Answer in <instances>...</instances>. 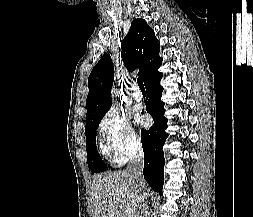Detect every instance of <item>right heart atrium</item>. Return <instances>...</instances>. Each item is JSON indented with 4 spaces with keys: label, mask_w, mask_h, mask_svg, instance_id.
Masks as SVG:
<instances>
[{
    "label": "right heart atrium",
    "mask_w": 253,
    "mask_h": 217,
    "mask_svg": "<svg viewBox=\"0 0 253 217\" xmlns=\"http://www.w3.org/2000/svg\"><path fill=\"white\" fill-rule=\"evenodd\" d=\"M98 130L118 163L127 160L140 146V138L129 116L117 108H111L105 113Z\"/></svg>",
    "instance_id": "d8ad5b80"
}]
</instances>
